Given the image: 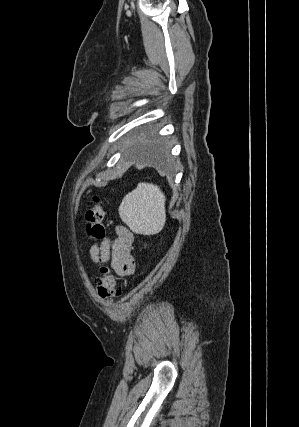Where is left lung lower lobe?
Wrapping results in <instances>:
<instances>
[{
	"label": "left lung lower lobe",
	"instance_id": "obj_1",
	"mask_svg": "<svg viewBox=\"0 0 299 427\" xmlns=\"http://www.w3.org/2000/svg\"><path fill=\"white\" fill-rule=\"evenodd\" d=\"M142 158L150 163H155V164H163L165 161L164 155L160 152H156V151H145L142 154Z\"/></svg>",
	"mask_w": 299,
	"mask_h": 427
}]
</instances>
